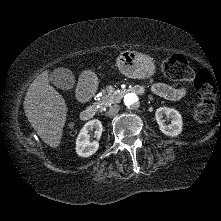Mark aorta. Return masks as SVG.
<instances>
[{
    "label": "aorta",
    "mask_w": 221,
    "mask_h": 221,
    "mask_svg": "<svg viewBox=\"0 0 221 221\" xmlns=\"http://www.w3.org/2000/svg\"><path fill=\"white\" fill-rule=\"evenodd\" d=\"M139 98L136 93H128L124 96V104L130 107H136L139 104Z\"/></svg>",
    "instance_id": "aorta-1"
}]
</instances>
